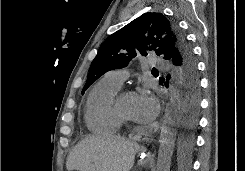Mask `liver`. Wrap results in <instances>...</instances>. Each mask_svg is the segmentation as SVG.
<instances>
[{"label": "liver", "instance_id": "1", "mask_svg": "<svg viewBox=\"0 0 245 171\" xmlns=\"http://www.w3.org/2000/svg\"><path fill=\"white\" fill-rule=\"evenodd\" d=\"M139 148L136 142L120 136H88L69 154L66 168L68 171H130Z\"/></svg>", "mask_w": 245, "mask_h": 171}]
</instances>
